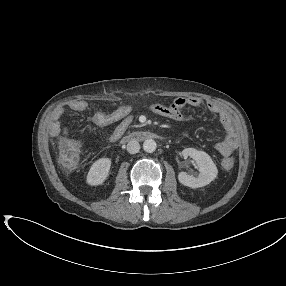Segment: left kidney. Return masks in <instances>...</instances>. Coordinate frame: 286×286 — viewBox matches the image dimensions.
<instances>
[{
  "label": "left kidney",
  "mask_w": 286,
  "mask_h": 286,
  "mask_svg": "<svg viewBox=\"0 0 286 286\" xmlns=\"http://www.w3.org/2000/svg\"><path fill=\"white\" fill-rule=\"evenodd\" d=\"M181 154L185 159L190 157L195 160L200 172L197 177L189 175L186 172H180L178 180L184 186L191 188L203 187L208 185L217 177L218 169L206 152L199 151L194 148H186Z\"/></svg>",
  "instance_id": "left-kidney-1"
}]
</instances>
